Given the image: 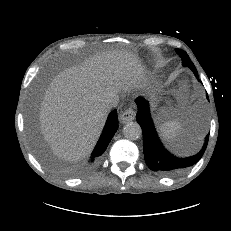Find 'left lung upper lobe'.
<instances>
[{
	"mask_svg": "<svg viewBox=\"0 0 231 231\" xmlns=\"http://www.w3.org/2000/svg\"><path fill=\"white\" fill-rule=\"evenodd\" d=\"M176 51L179 53V55L182 58L183 66L189 67L194 72V74L197 75L198 74L197 70L194 64L192 63V61L190 60L189 56L187 55V53L181 49H176Z\"/></svg>",
	"mask_w": 231,
	"mask_h": 231,
	"instance_id": "obj_1",
	"label": "left lung upper lobe"
}]
</instances>
